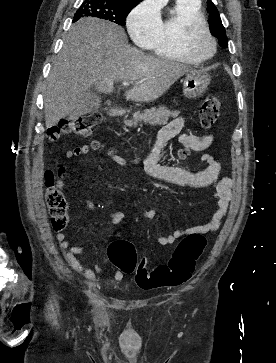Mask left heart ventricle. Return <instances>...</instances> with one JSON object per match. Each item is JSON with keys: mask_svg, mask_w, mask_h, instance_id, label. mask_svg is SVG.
<instances>
[{"mask_svg": "<svg viewBox=\"0 0 276 363\" xmlns=\"http://www.w3.org/2000/svg\"><path fill=\"white\" fill-rule=\"evenodd\" d=\"M192 48L201 55H208L212 50V44L204 33L200 30L191 38Z\"/></svg>", "mask_w": 276, "mask_h": 363, "instance_id": "obj_1", "label": "left heart ventricle"}]
</instances>
